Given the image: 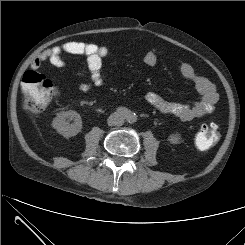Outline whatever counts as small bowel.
<instances>
[{
    "label": "small bowel",
    "mask_w": 245,
    "mask_h": 245,
    "mask_svg": "<svg viewBox=\"0 0 245 245\" xmlns=\"http://www.w3.org/2000/svg\"><path fill=\"white\" fill-rule=\"evenodd\" d=\"M63 53L82 55L86 58L90 78L87 82L79 85L80 90L84 91L104 85L101 68L103 60L109 54V50L105 46L68 41L40 53L34 59L32 67L38 68L41 64L49 62L54 67L65 68L67 67V62L62 57ZM158 59V54L155 51H148L144 56L145 63L148 66H155L158 63ZM180 74L195 86L199 94L198 100L191 104H181L166 101L155 93H149L147 95L148 103L159 112L175 116L182 121H190L211 113L218 102V93L215 86L207 78L199 75L189 63H183L180 66Z\"/></svg>",
    "instance_id": "obj_1"
}]
</instances>
